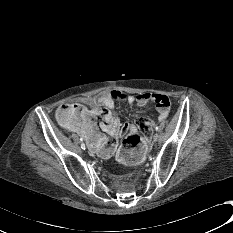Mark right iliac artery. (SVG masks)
I'll use <instances>...</instances> for the list:
<instances>
[{
    "label": "right iliac artery",
    "instance_id": "right-iliac-artery-1",
    "mask_svg": "<svg viewBox=\"0 0 233 233\" xmlns=\"http://www.w3.org/2000/svg\"><path fill=\"white\" fill-rule=\"evenodd\" d=\"M80 140L83 141V138H80ZM81 148L85 150V144L84 143L81 144Z\"/></svg>",
    "mask_w": 233,
    "mask_h": 233
}]
</instances>
